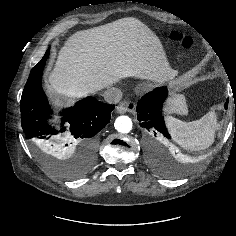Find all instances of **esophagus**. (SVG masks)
I'll list each match as a JSON object with an SVG mask.
<instances>
[{
	"label": "esophagus",
	"instance_id": "1",
	"mask_svg": "<svg viewBox=\"0 0 236 236\" xmlns=\"http://www.w3.org/2000/svg\"><path fill=\"white\" fill-rule=\"evenodd\" d=\"M135 109V104L133 102L122 101L116 107V111L119 114H124L126 112H133Z\"/></svg>",
	"mask_w": 236,
	"mask_h": 236
}]
</instances>
